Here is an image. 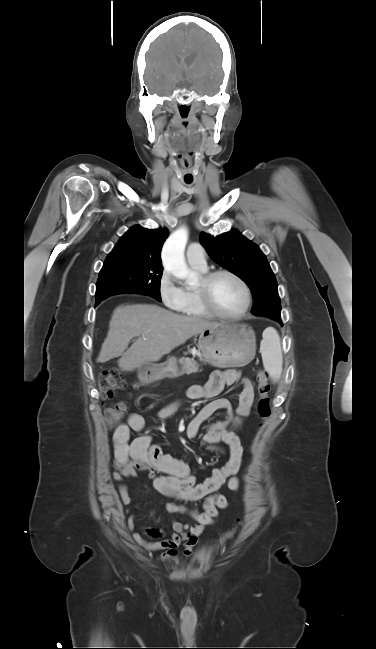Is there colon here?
Segmentation results:
<instances>
[{"instance_id": "1", "label": "colon", "mask_w": 376, "mask_h": 649, "mask_svg": "<svg viewBox=\"0 0 376 649\" xmlns=\"http://www.w3.org/2000/svg\"><path fill=\"white\" fill-rule=\"evenodd\" d=\"M258 400L256 404L257 414L263 420H267L271 415L270 404V384L269 375L265 370H259L256 374ZM125 381L121 374L115 369L104 370L99 378V390L102 399L107 400L113 397L114 391L123 389ZM127 404L125 402H117L111 406L104 408V417L107 424L113 427L120 418L125 414ZM236 529L228 532L225 539L231 538L235 534Z\"/></svg>"}]
</instances>
